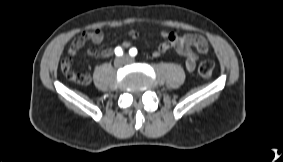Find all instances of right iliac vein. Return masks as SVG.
<instances>
[{
    "label": "right iliac vein",
    "instance_id": "1",
    "mask_svg": "<svg viewBox=\"0 0 283 162\" xmlns=\"http://www.w3.org/2000/svg\"><path fill=\"white\" fill-rule=\"evenodd\" d=\"M114 64H115V67L119 68V67L123 66L124 60L121 59V58H118V59L115 60Z\"/></svg>",
    "mask_w": 283,
    "mask_h": 162
}]
</instances>
